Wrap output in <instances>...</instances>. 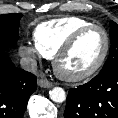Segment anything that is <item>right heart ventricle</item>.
Instances as JSON below:
<instances>
[{"label": "right heart ventricle", "instance_id": "obj_1", "mask_svg": "<svg viewBox=\"0 0 118 118\" xmlns=\"http://www.w3.org/2000/svg\"><path fill=\"white\" fill-rule=\"evenodd\" d=\"M91 24L89 20L76 16L43 22L34 30V44L45 58L51 59L75 31Z\"/></svg>", "mask_w": 118, "mask_h": 118}]
</instances>
